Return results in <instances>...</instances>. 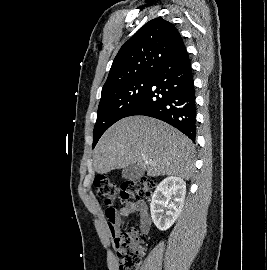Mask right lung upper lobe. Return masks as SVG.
I'll return each mask as SVG.
<instances>
[{
  "instance_id": "1",
  "label": "right lung upper lobe",
  "mask_w": 267,
  "mask_h": 270,
  "mask_svg": "<svg viewBox=\"0 0 267 270\" xmlns=\"http://www.w3.org/2000/svg\"><path fill=\"white\" fill-rule=\"evenodd\" d=\"M183 45L172 23L161 17L147 22L117 53L102 91L129 80L153 76Z\"/></svg>"
}]
</instances>
